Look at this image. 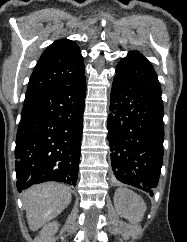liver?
<instances>
[{
  "label": "liver",
  "instance_id": "1",
  "mask_svg": "<svg viewBox=\"0 0 187 242\" xmlns=\"http://www.w3.org/2000/svg\"><path fill=\"white\" fill-rule=\"evenodd\" d=\"M71 202L70 189L59 183H43L24 192L23 204L29 228L36 231L57 217Z\"/></svg>",
  "mask_w": 187,
  "mask_h": 242
}]
</instances>
